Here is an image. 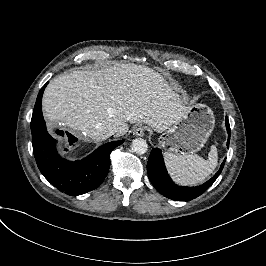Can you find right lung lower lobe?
Here are the masks:
<instances>
[{
    "mask_svg": "<svg viewBox=\"0 0 266 266\" xmlns=\"http://www.w3.org/2000/svg\"><path fill=\"white\" fill-rule=\"evenodd\" d=\"M48 82L41 88L31 120L32 145L37 166L44 177L61 192L77 196L96 189L108 174L110 153L124 140L109 142L82 160L68 161L56 150V140L46 130L41 100Z\"/></svg>",
    "mask_w": 266,
    "mask_h": 266,
    "instance_id": "right-lung-lower-lobe-1",
    "label": "right lung lower lobe"
}]
</instances>
